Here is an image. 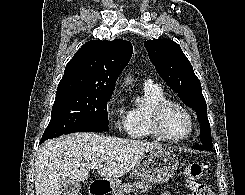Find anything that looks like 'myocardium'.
Listing matches in <instances>:
<instances>
[{"label": "myocardium", "mask_w": 245, "mask_h": 195, "mask_svg": "<svg viewBox=\"0 0 245 195\" xmlns=\"http://www.w3.org/2000/svg\"><path fill=\"white\" fill-rule=\"evenodd\" d=\"M171 106H176L182 109L186 113L188 120H189V129L187 133L181 137H170L164 132L162 128L163 114L167 110V108ZM149 125L151 128V131L157 138L163 141H166V142H182L188 139L192 135L194 131V127H195V121H194V117L191 111L189 110L187 106H185L183 103L177 100L166 99L156 104L151 109L150 114H149Z\"/></svg>", "instance_id": "f54148a6"}]
</instances>
